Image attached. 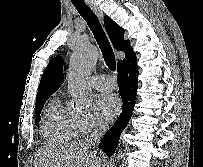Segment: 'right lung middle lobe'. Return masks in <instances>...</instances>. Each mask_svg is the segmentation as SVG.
Wrapping results in <instances>:
<instances>
[{"mask_svg":"<svg viewBox=\"0 0 203 167\" xmlns=\"http://www.w3.org/2000/svg\"><path fill=\"white\" fill-rule=\"evenodd\" d=\"M47 99L45 100H42V101H39L36 103V106H35V111H36V119H35V122H36V125L39 127V121H40V113L42 111V108L45 104Z\"/></svg>","mask_w":203,"mask_h":167,"instance_id":"obj_1","label":"right lung middle lobe"}]
</instances>
